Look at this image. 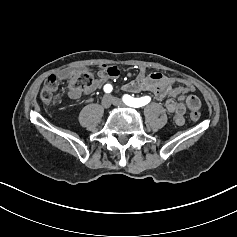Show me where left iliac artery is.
Masks as SVG:
<instances>
[{
	"mask_svg": "<svg viewBox=\"0 0 237 237\" xmlns=\"http://www.w3.org/2000/svg\"><path fill=\"white\" fill-rule=\"evenodd\" d=\"M151 98L149 96L141 98H133L130 95L125 94L123 96V101L126 105L134 108L142 107L150 102Z\"/></svg>",
	"mask_w": 237,
	"mask_h": 237,
	"instance_id": "1",
	"label": "left iliac artery"
}]
</instances>
